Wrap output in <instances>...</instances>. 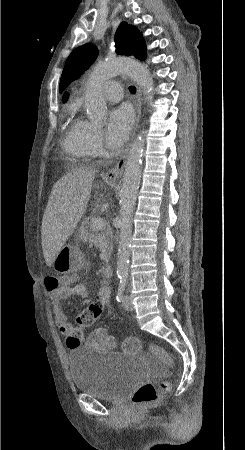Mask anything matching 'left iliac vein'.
I'll use <instances>...</instances> for the list:
<instances>
[{
	"label": "left iliac vein",
	"instance_id": "obj_1",
	"mask_svg": "<svg viewBox=\"0 0 245 450\" xmlns=\"http://www.w3.org/2000/svg\"><path fill=\"white\" fill-rule=\"evenodd\" d=\"M122 306L127 311L134 310V306L132 304V300H131V297L129 294L124 295L123 300H122Z\"/></svg>",
	"mask_w": 245,
	"mask_h": 450
}]
</instances>
